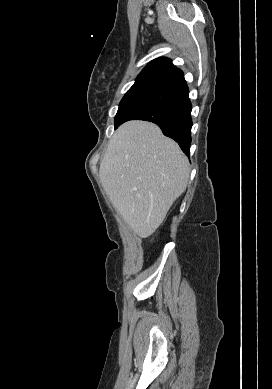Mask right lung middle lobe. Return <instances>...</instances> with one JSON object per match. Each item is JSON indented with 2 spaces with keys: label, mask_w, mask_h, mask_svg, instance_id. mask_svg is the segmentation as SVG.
<instances>
[{
  "label": "right lung middle lobe",
  "mask_w": 272,
  "mask_h": 389,
  "mask_svg": "<svg viewBox=\"0 0 272 389\" xmlns=\"http://www.w3.org/2000/svg\"><path fill=\"white\" fill-rule=\"evenodd\" d=\"M162 86L152 83H135L122 98L117 114L115 116V128L120 125L126 114L146 99L151 94L158 91Z\"/></svg>",
  "instance_id": "1"
}]
</instances>
